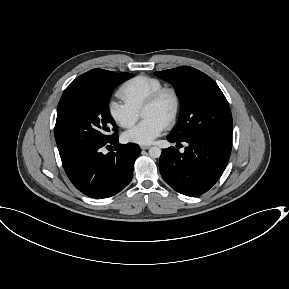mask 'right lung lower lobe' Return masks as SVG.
Instances as JSON below:
<instances>
[{"mask_svg": "<svg viewBox=\"0 0 289 289\" xmlns=\"http://www.w3.org/2000/svg\"><path fill=\"white\" fill-rule=\"evenodd\" d=\"M112 145L114 151L101 152ZM140 151L136 144H119L116 135L106 143L79 152L62 163L68 178L79 191L89 197L107 198L130 183Z\"/></svg>", "mask_w": 289, "mask_h": 289, "instance_id": "obj_1", "label": "right lung lower lobe"}]
</instances>
